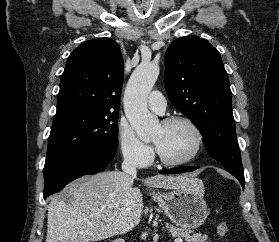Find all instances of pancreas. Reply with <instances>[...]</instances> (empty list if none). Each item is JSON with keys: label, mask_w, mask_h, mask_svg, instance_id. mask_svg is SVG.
<instances>
[{"label": "pancreas", "mask_w": 279, "mask_h": 242, "mask_svg": "<svg viewBox=\"0 0 279 242\" xmlns=\"http://www.w3.org/2000/svg\"><path fill=\"white\" fill-rule=\"evenodd\" d=\"M167 228L173 237L178 239H185L186 242H208V238L206 235H201L198 233L190 235V231L168 224Z\"/></svg>", "instance_id": "pancreas-1"}]
</instances>
